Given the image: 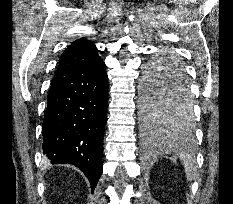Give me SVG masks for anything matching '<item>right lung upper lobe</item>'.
I'll return each mask as SVG.
<instances>
[{
    "label": "right lung upper lobe",
    "mask_w": 233,
    "mask_h": 204,
    "mask_svg": "<svg viewBox=\"0 0 233 204\" xmlns=\"http://www.w3.org/2000/svg\"><path fill=\"white\" fill-rule=\"evenodd\" d=\"M103 61L98 56V50L91 41L79 39L74 41L61 55L52 85L63 80L68 72L76 66H98Z\"/></svg>",
    "instance_id": "cb5924a9"
}]
</instances>
